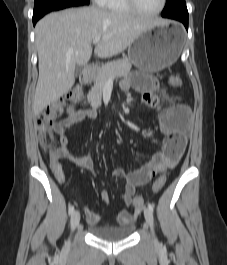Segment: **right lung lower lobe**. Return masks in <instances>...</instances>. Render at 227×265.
Returning <instances> with one entry per match:
<instances>
[{
    "mask_svg": "<svg viewBox=\"0 0 227 265\" xmlns=\"http://www.w3.org/2000/svg\"><path fill=\"white\" fill-rule=\"evenodd\" d=\"M37 20L39 19H33V24L35 25V23L37 22Z\"/></svg>",
    "mask_w": 227,
    "mask_h": 265,
    "instance_id": "1",
    "label": "right lung lower lobe"
}]
</instances>
